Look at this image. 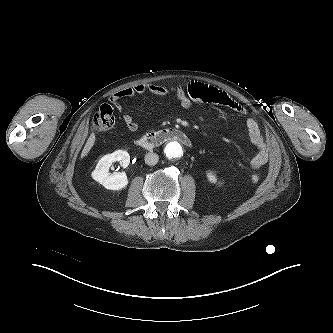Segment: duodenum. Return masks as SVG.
<instances>
[{"instance_id": "410a0bca", "label": "duodenum", "mask_w": 333, "mask_h": 333, "mask_svg": "<svg viewBox=\"0 0 333 333\" xmlns=\"http://www.w3.org/2000/svg\"><path fill=\"white\" fill-rule=\"evenodd\" d=\"M169 141H177L186 146H191V141L188 136L183 131L176 128L147 133L136 139V144L146 150H152Z\"/></svg>"}]
</instances>
